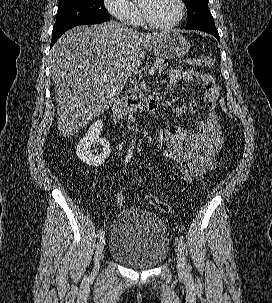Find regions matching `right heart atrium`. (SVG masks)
<instances>
[{
    "mask_svg": "<svg viewBox=\"0 0 272 303\" xmlns=\"http://www.w3.org/2000/svg\"><path fill=\"white\" fill-rule=\"evenodd\" d=\"M108 12L126 24H136L139 19L137 7L131 0H104Z\"/></svg>",
    "mask_w": 272,
    "mask_h": 303,
    "instance_id": "obj_1",
    "label": "right heart atrium"
}]
</instances>
